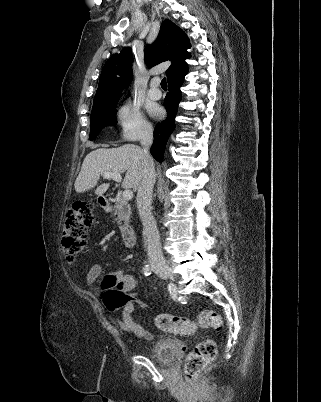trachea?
<instances>
[{
	"instance_id": "trachea-1",
	"label": "trachea",
	"mask_w": 321,
	"mask_h": 402,
	"mask_svg": "<svg viewBox=\"0 0 321 402\" xmlns=\"http://www.w3.org/2000/svg\"><path fill=\"white\" fill-rule=\"evenodd\" d=\"M161 87H162L163 89H167L166 78H163V79H162V81H161Z\"/></svg>"
}]
</instances>
